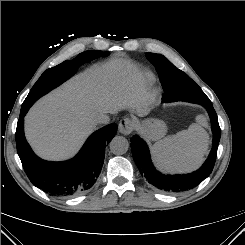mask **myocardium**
I'll list each match as a JSON object with an SVG mask.
<instances>
[{"mask_svg": "<svg viewBox=\"0 0 245 245\" xmlns=\"http://www.w3.org/2000/svg\"><path fill=\"white\" fill-rule=\"evenodd\" d=\"M157 94H152L151 96V102H154L156 100Z\"/></svg>", "mask_w": 245, "mask_h": 245, "instance_id": "obj_1", "label": "myocardium"}]
</instances>
